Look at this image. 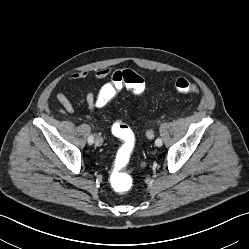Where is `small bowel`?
Returning a JSON list of instances; mask_svg holds the SVG:
<instances>
[{
    "label": "small bowel",
    "mask_w": 249,
    "mask_h": 249,
    "mask_svg": "<svg viewBox=\"0 0 249 249\" xmlns=\"http://www.w3.org/2000/svg\"><path fill=\"white\" fill-rule=\"evenodd\" d=\"M110 75H112V69L105 67L96 71L94 78L96 81H104ZM88 77L89 73L87 71H79L72 74L69 77V81L70 82L84 81L87 80ZM115 94L116 90L114 89L111 82L103 84L97 92L92 90L88 91L85 96V104L91 117L96 118L98 109L103 107L106 104L107 99L114 97ZM56 99L62 106L63 112L65 114L70 116L75 115L76 112L75 108L71 100L68 98V96L65 93L58 92L56 94Z\"/></svg>",
    "instance_id": "obj_1"
}]
</instances>
